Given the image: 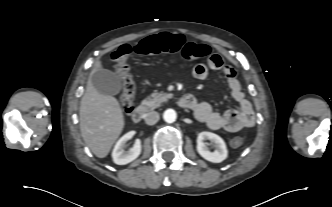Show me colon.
Returning <instances> with one entry per match:
<instances>
[{"mask_svg":"<svg viewBox=\"0 0 332 207\" xmlns=\"http://www.w3.org/2000/svg\"><path fill=\"white\" fill-rule=\"evenodd\" d=\"M152 54V53H180L188 62L216 55H211L210 49L205 44L189 42L181 34L160 33L150 36L134 45L123 44L112 53V60L115 68L121 76L123 91L121 103L124 111L130 113L134 108V98L136 94V84L131 74L128 58L133 54ZM242 143L241 138H236L233 142L238 146Z\"/></svg>","mask_w":332,"mask_h":207,"instance_id":"colon-1","label":"colon"}]
</instances>
